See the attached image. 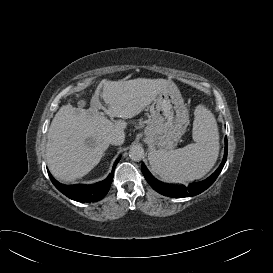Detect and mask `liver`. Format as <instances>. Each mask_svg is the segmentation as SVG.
Listing matches in <instances>:
<instances>
[{"mask_svg":"<svg viewBox=\"0 0 273 273\" xmlns=\"http://www.w3.org/2000/svg\"><path fill=\"white\" fill-rule=\"evenodd\" d=\"M165 79L137 78L106 81L96 91L89 109L62 106L48 129L46 159L50 172L62 181H73L88 174L109 147L108 136L124 130L126 122L112 123L99 109L103 106L115 116L128 119L138 115L168 85Z\"/></svg>","mask_w":273,"mask_h":273,"instance_id":"1","label":"liver"}]
</instances>
